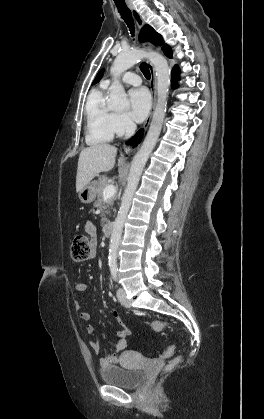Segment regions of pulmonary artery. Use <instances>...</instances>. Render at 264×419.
I'll list each match as a JSON object with an SVG mask.
<instances>
[{"instance_id":"1","label":"pulmonary artery","mask_w":264,"mask_h":419,"mask_svg":"<svg viewBox=\"0 0 264 419\" xmlns=\"http://www.w3.org/2000/svg\"><path fill=\"white\" fill-rule=\"evenodd\" d=\"M122 82L126 83V84H130V85H134V86H138L141 84V78L133 73V72H126L122 75L121 77ZM111 82V80H106L104 83L106 85H108Z\"/></svg>"}]
</instances>
